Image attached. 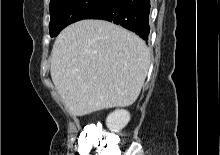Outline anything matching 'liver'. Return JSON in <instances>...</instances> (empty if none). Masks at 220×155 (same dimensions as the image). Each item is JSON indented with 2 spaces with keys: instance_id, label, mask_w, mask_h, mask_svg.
I'll return each instance as SVG.
<instances>
[{
  "instance_id": "6515ba94",
  "label": "liver",
  "mask_w": 220,
  "mask_h": 155,
  "mask_svg": "<svg viewBox=\"0 0 220 155\" xmlns=\"http://www.w3.org/2000/svg\"><path fill=\"white\" fill-rule=\"evenodd\" d=\"M150 65L145 42L103 20H81L57 36L51 78L74 116L126 107L138 98Z\"/></svg>"
}]
</instances>
